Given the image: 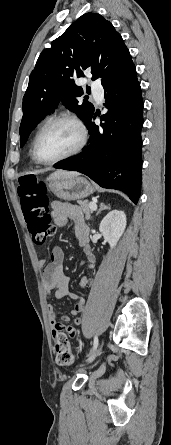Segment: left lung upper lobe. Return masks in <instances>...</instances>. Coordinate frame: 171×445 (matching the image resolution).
<instances>
[{
	"label": "left lung upper lobe",
	"mask_w": 171,
	"mask_h": 445,
	"mask_svg": "<svg viewBox=\"0 0 171 445\" xmlns=\"http://www.w3.org/2000/svg\"><path fill=\"white\" fill-rule=\"evenodd\" d=\"M133 63L128 48L113 25L101 15L86 13L40 54L23 97L21 147L31 131L62 103L87 122L94 113L89 102L79 104L83 89L74 83L90 70L102 85Z\"/></svg>",
	"instance_id": "obj_1"
}]
</instances>
